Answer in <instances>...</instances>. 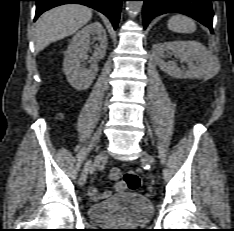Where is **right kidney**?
Wrapping results in <instances>:
<instances>
[{
    "mask_svg": "<svg viewBox=\"0 0 234 231\" xmlns=\"http://www.w3.org/2000/svg\"><path fill=\"white\" fill-rule=\"evenodd\" d=\"M96 34L100 45L95 47V54L88 61L90 68L81 67L80 62L87 60L90 35ZM107 48L106 32L100 22H93L78 31L64 52L63 71L70 85L77 90L91 86L98 72V62L105 56Z\"/></svg>",
    "mask_w": 234,
    "mask_h": 231,
    "instance_id": "obj_1",
    "label": "right kidney"
}]
</instances>
